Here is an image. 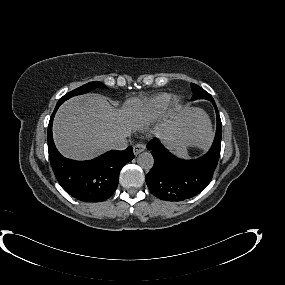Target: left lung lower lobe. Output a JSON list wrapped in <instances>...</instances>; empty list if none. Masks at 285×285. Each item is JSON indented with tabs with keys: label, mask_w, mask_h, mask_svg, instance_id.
I'll return each instance as SVG.
<instances>
[{
	"label": "left lung lower lobe",
	"mask_w": 285,
	"mask_h": 285,
	"mask_svg": "<svg viewBox=\"0 0 285 285\" xmlns=\"http://www.w3.org/2000/svg\"><path fill=\"white\" fill-rule=\"evenodd\" d=\"M217 130L209 152L195 160L179 159L155 138L147 144L154 157V165L145 180L152 194L166 201H182L199 194L210 182L221 149V119L214 100Z\"/></svg>",
	"instance_id": "left-lung-lower-lobe-1"
}]
</instances>
